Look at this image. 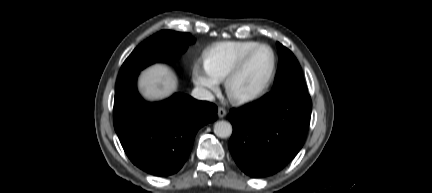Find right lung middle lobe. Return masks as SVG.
I'll return each instance as SVG.
<instances>
[{
	"label": "right lung middle lobe",
	"mask_w": 432,
	"mask_h": 193,
	"mask_svg": "<svg viewBox=\"0 0 432 193\" xmlns=\"http://www.w3.org/2000/svg\"><path fill=\"white\" fill-rule=\"evenodd\" d=\"M194 42L189 33L162 30L138 45L123 63L118 79L139 72L155 62H169Z\"/></svg>",
	"instance_id": "1"
}]
</instances>
